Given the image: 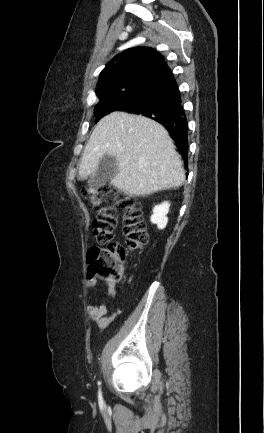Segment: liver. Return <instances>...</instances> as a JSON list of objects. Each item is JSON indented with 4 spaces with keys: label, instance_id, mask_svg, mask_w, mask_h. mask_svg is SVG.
<instances>
[{
    "label": "liver",
    "instance_id": "obj_1",
    "mask_svg": "<svg viewBox=\"0 0 264 433\" xmlns=\"http://www.w3.org/2000/svg\"><path fill=\"white\" fill-rule=\"evenodd\" d=\"M105 155L118 163L111 185L130 195L147 196L185 181L183 163L167 130L143 116L117 111L103 117L84 148L80 179L94 174Z\"/></svg>",
    "mask_w": 264,
    "mask_h": 433
}]
</instances>
